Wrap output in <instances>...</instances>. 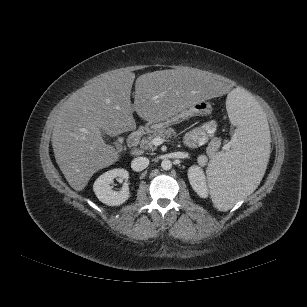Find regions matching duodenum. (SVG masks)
<instances>
[{
    "instance_id": "1",
    "label": "duodenum",
    "mask_w": 307,
    "mask_h": 307,
    "mask_svg": "<svg viewBox=\"0 0 307 307\" xmlns=\"http://www.w3.org/2000/svg\"><path fill=\"white\" fill-rule=\"evenodd\" d=\"M143 134H144V131L142 129H136L135 131H133L128 137V142H127L128 147L129 148L137 147Z\"/></svg>"
}]
</instances>
